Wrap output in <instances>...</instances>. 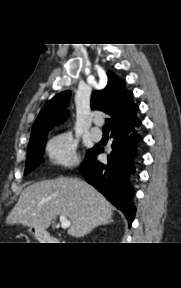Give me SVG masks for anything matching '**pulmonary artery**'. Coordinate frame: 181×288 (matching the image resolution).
I'll return each mask as SVG.
<instances>
[{
  "mask_svg": "<svg viewBox=\"0 0 181 288\" xmlns=\"http://www.w3.org/2000/svg\"><path fill=\"white\" fill-rule=\"evenodd\" d=\"M90 134L95 140H100L102 138V131L97 127H93L90 131Z\"/></svg>",
  "mask_w": 181,
  "mask_h": 288,
  "instance_id": "pulmonary-artery-1",
  "label": "pulmonary artery"
}]
</instances>
